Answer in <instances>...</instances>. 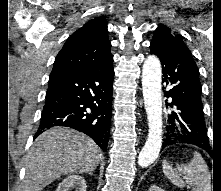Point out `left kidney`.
<instances>
[{
    "instance_id": "left-kidney-1",
    "label": "left kidney",
    "mask_w": 221,
    "mask_h": 191,
    "mask_svg": "<svg viewBox=\"0 0 221 191\" xmlns=\"http://www.w3.org/2000/svg\"><path fill=\"white\" fill-rule=\"evenodd\" d=\"M148 191H165V190H163L162 188H160L156 185H153L150 187V189Z\"/></svg>"
}]
</instances>
